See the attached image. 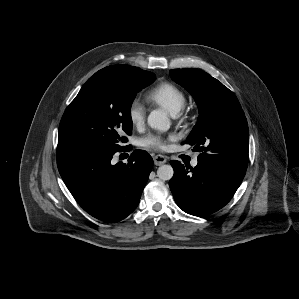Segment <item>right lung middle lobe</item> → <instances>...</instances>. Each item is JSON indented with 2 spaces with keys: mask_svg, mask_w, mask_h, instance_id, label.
<instances>
[{
  "mask_svg": "<svg viewBox=\"0 0 299 299\" xmlns=\"http://www.w3.org/2000/svg\"><path fill=\"white\" fill-rule=\"evenodd\" d=\"M155 80L152 72L113 65L95 73L66 108L58 145L117 152L132 134L131 104Z\"/></svg>",
  "mask_w": 299,
  "mask_h": 299,
  "instance_id": "dd1d6c3e",
  "label": "right lung middle lobe"
}]
</instances>
